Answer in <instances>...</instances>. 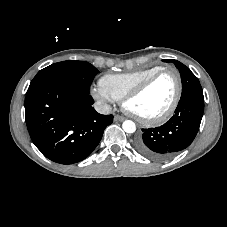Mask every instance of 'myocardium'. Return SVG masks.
I'll return each instance as SVG.
<instances>
[{
    "label": "myocardium",
    "mask_w": 227,
    "mask_h": 227,
    "mask_svg": "<svg viewBox=\"0 0 227 227\" xmlns=\"http://www.w3.org/2000/svg\"><path fill=\"white\" fill-rule=\"evenodd\" d=\"M167 72H171L175 76L176 92H175V96H174L172 102L170 103V105L164 112H162L161 114H159L155 117L147 118V117H142V116L136 114L135 112H133L132 110H130L128 108V102L130 100H132L133 98L140 95L144 90H146L148 88V86L157 77H159L162 74L167 73ZM181 96H182V79H181L180 73L174 68L163 67L160 70H158V71L152 73L151 75H149L148 77H146L143 81H141L139 84H137L131 90H129L122 98V107L128 114H130L132 117H134L141 123H144L147 125H155V124H159V123L166 121L173 115V113L175 112V110L180 102Z\"/></svg>",
    "instance_id": "obj_1"
}]
</instances>
